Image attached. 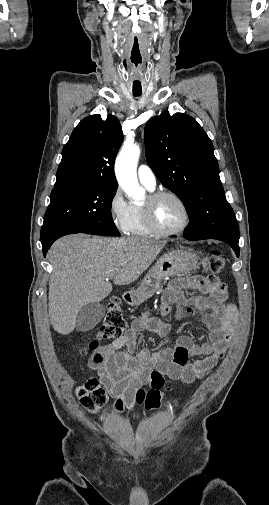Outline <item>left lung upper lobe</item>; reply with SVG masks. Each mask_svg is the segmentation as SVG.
<instances>
[{
	"mask_svg": "<svg viewBox=\"0 0 269 505\" xmlns=\"http://www.w3.org/2000/svg\"><path fill=\"white\" fill-rule=\"evenodd\" d=\"M144 137L148 165L189 212L185 237L239 239L237 220L225 197L212 141L198 122L184 113L170 116L164 111L147 122Z\"/></svg>",
	"mask_w": 269,
	"mask_h": 505,
	"instance_id": "5c2ea615",
	"label": "left lung upper lobe"
}]
</instances>
